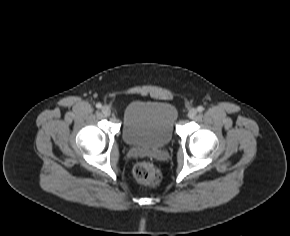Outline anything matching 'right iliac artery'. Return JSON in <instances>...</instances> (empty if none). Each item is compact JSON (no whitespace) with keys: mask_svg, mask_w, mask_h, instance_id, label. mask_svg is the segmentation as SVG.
I'll list each match as a JSON object with an SVG mask.
<instances>
[{"mask_svg":"<svg viewBox=\"0 0 290 236\" xmlns=\"http://www.w3.org/2000/svg\"><path fill=\"white\" fill-rule=\"evenodd\" d=\"M96 107L99 109V108L102 107V105H101L100 103H97V104H96Z\"/></svg>","mask_w":290,"mask_h":236,"instance_id":"82829eb1","label":"right iliac artery"}]
</instances>
